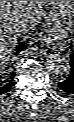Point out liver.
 <instances>
[{
    "instance_id": "liver-1",
    "label": "liver",
    "mask_w": 74,
    "mask_h": 122,
    "mask_svg": "<svg viewBox=\"0 0 74 122\" xmlns=\"http://www.w3.org/2000/svg\"><path fill=\"white\" fill-rule=\"evenodd\" d=\"M56 1H0V65L3 73L11 52L21 35L34 29L43 16V6ZM27 24L24 31L21 27Z\"/></svg>"
}]
</instances>
